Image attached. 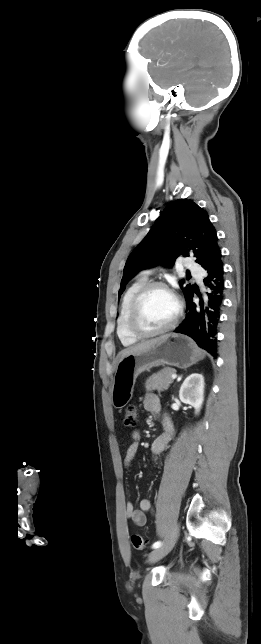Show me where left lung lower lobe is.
<instances>
[{"instance_id": "1", "label": "left lung lower lobe", "mask_w": 261, "mask_h": 644, "mask_svg": "<svg viewBox=\"0 0 261 644\" xmlns=\"http://www.w3.org/2000/svg\"><path fill=\"white\" fill-rule=\"evenodd\" d=\"M207 272L204 284L208 291L200 294L198 304L193 302L192 294L186 299V316L175 332L188 335L199 347L208 351L216 358L217 350V325L219 323L220 311L223 304V263L221 251L215 254L203 267Z\"/></svg>"}]
</instances>
